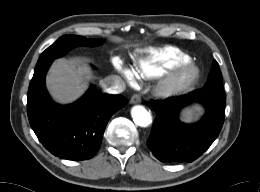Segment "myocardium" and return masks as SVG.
<instances>
[{
  "mask_svg": "<svg viewBox=\"0 0 260 192\" xmlns=\"http://www.w3.org/2000/svg\"><path fill=\"white\" fill-rule=\"evenodd\" d=\"M199 71L190 62L182 63L167 73L155 85V93L161 98L176 96L190 88L198 79Z\"/></svg>",
  "mask_w": 260,
  "mask_h": 192,
  "instance_id": "f54148a6",
  "label": "myocardium"
}]
</instances>
